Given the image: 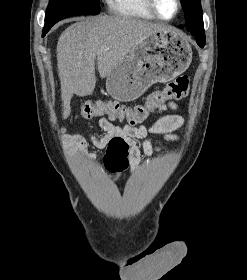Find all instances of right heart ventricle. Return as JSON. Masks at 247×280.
I'll use <instances>...</instances> for the list:
<instances>
[{"mask_svg": "<svg viewBox=\"0 0 247 280\" xmlns=\"http://www.w3.org/2000/svg\"><path fill=\"white\" fill-rule=\"evenodd\" d=\"M110 11L118 16L154 20L146 0H107Z\"/></svg>", "mask_w": 247, "mask_h": 280, "instance_id": "obj_1", "label": "right heart ventricle"}]
</instances>
